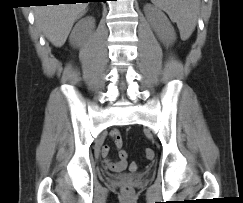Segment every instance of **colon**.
Segmentation results:
<instances>
[{
    "mask_svg": "<svg viewBox=\"0 0 243 203\" xmlns=\"http://www.w3.org/2000/svg\"><path fill=\"white\" fill-rule=\"evenodd\" d=\"M144 155H145L146 159H148V160H153L155 157L154 151L151 149H146L144 152ZM120 156L122 158H126V156H127L126 151H123V150L120 151ZM122 191L126 194H130L132 192V188L130 186H123Z\"/></svg>",
    "mask_w": 243,
    "mask_h": 203,
    "instance_id": "1",
    "label": "colon"
}]
</instances>
